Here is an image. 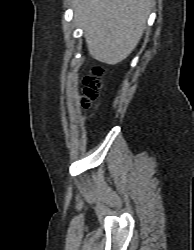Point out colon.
<instances>
[{
  "mask_svg": "<svg viewBox=\"0 0 194 250\" xmlns=\"http://www.w3.org/2000/svg\"><path fill=\"white\" fill-rule=\"evenodd\" d=\"M105 70L102 67L93 69L92 74L84 78L83 84V105L89 106L98 96L101 87V77L104 75Z\"/></svg>",
  "mask_w": 194,
  "mask_h": 250,
  "instance_id": "5ec220e1",
  "label": "colon"
}]
</instances>
